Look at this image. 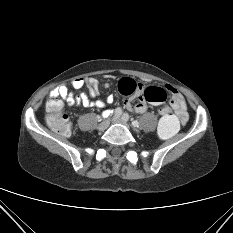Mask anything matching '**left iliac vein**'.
<instances>
[{"mask_svg": "<svg viewBox=\"0 0 233 233\" xmlns=\"http://www.w3.org/2000/svg\"><path fill=\"white\" fill-rule=\"evenodd\" d=\"M112 121H113L114 123H120V124L127 125V121H125V120H123L122 118H119V117L113 118Z\"/></svg>", "mask_w": 233, "mask_h": 233, "instance_id": "left-iliac-vein-1", "label": "left iliac vein"}]
</instances>
